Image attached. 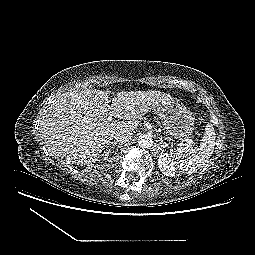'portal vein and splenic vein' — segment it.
<instances>
[{"mask_svg": "<svg viewBox=\"0 0 255 255\" xmlns=\"http://www.w3.org/2000/svg\"><path fill=\"white\" fill-rule=\"evenodd\" d=\"M107 120L112 121L113 118H112L111 116H108ZM186 142H187L188 144L191 143V141H190L189 139H186Z\"/></svg>", "mask_w": 255, "mask_h": 255, "instance_id": "18ae733b", "label": "portal vein and splenic vein"}]
</instances>
